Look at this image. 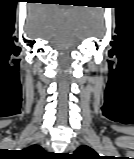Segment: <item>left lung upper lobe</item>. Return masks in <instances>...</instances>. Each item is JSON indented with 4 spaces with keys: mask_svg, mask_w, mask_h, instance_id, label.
<instances>
[{
    "mask_svg": "<svg viewBox=\"0 0 134 159\" xmlns=\"http://www.w3.org/2000/svg\"><path fill=\"white\" fill-rule=\"evenodd\" d=\"M71 159H102V158L88 146H81L75 151Z\"/></svg>",
    "mask_w": 134,
    "mask_h": 159,
    "instance_id": "5c2ea615",
    "label": "left lung upper lobe"
}]
</instances>
